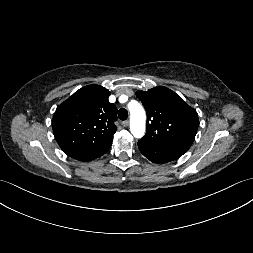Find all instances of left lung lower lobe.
Masks as SVG:
<instances>
[{"instance_id": "1", "label": "left lung lower lobe", "mask_w": 253, "mask_h": 253, "mask_svg": "<svg viewBox=\"0 0 253 253\" xmlns=\"http://www.w3.org/2000/svg\"><path fill=\"white\" fill-rule=\"evenodd\" d=\"M140 152L154 163H166L181 157L183 154L147 146L138 142Z\"/></svg>"}]
</instances>
